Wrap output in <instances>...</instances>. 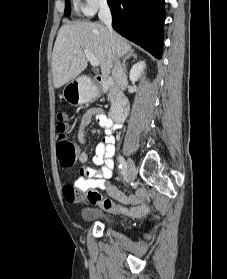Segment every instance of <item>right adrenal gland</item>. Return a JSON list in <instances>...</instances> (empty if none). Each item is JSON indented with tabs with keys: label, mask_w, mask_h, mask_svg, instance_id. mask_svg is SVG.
I'll return each mask as SVG.
<instances>
[{
	"label": "right adrenal gland",
	"mask_w": 227,
	"mask_h": 279,
	"mask_svg": "<svg viewBox=\"0 0 227 279\" xmlns=\"http://www.w3.org/2000/svg\"><path fill=\"white\" fill-rule=\"evenodd\" d=\"M131 57L137 59V54L134 53V50H130L123 59L122 65H123L124 72H126V61Z\"/></svg>",
	"instance_id": "2a0ac1e0"
}]
</instances>
